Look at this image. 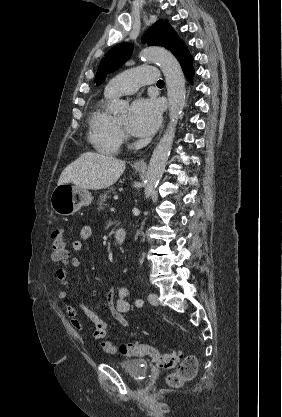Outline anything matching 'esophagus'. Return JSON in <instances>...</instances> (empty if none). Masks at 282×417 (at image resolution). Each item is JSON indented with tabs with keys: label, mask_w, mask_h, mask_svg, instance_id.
Returning a JSON list of instances; mask_svg holds the SVG:
<instances>
[{
	"label": "esophagus",
	"mask_w": 282,
	"mask_h": 417,
	"mask_svg": "<svg viewBox=\"0 0 282 417\" xmlns=\"http://www.w3.org/2000/svg\"><path fill=\"white\" fill-rule=\"evenodd\" d=\"M134 165L136 167H146V156L137 160Z\"/></svg>",
	"instance_id": "obj_1"
}]
</instances>
